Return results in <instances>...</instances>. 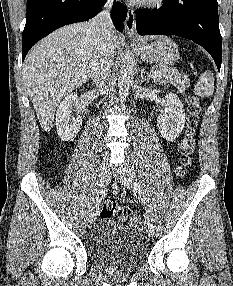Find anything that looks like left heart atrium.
Listing matches in <instances>:
<instances>
[{"instance_id":"obj_1","label":"left heart atrium","mask_w":233,"mask_h":286,"mask_svg":"<svg viewBox=\"0 0 233 286\" xmlns=\"http://www.w3.org/2000/svg\"><path fill=\"white\" fill-rule=\"evenodd\" d=\"M132 1H134V2H139V1H142V0H132Z\"/></svg>"}]
</instances>
